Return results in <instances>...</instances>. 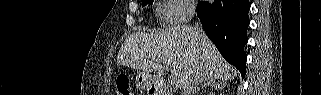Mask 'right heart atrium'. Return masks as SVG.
Instances as JSON below:
<instances>
[{
    "label": "right heart atrium",
    "mask_w": 321,
    "mask_h": 95,
    "mask_svg": "<svg viewBox=\"0 0 321 95\" xmlns=\"http://www.w3.org/2000/svg\"><path fill=\"white\" fill-rule=\"evenodd\" d=\"M158 15L166 24L186 22L193 14V3L190 0H167L158 6Z\"/></svg>",
    "instance_id": "right-heart-atrium-1"
}]
</instances>
